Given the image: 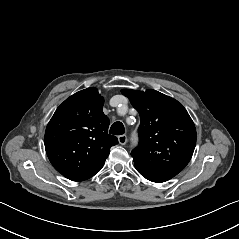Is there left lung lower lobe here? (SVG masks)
Wrapping results in <instances>:
<instances>
[{
  "label": "left lung lower lobe",
  "instance_id": "0a47b994",
  "mask_svg": "<svg viewBox=\"0 0 239 239\" xmlns=\"http://www.w3.org/2000/svg\"><path fill=\"white\" fill-rule=\"evenodd\" d=\"M135 168L146 179L152 182H158V183L165 182L179 173V172L151 170V169H146V168H142L138 166H135Z\"/></svg>",
  "mask_w": 239,
  "mask_h": 239
}]
</instances>
